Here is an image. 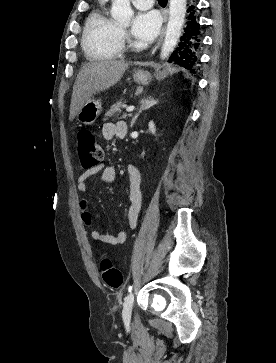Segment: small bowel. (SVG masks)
<instances>
[{
    "label": "small bowel",
    "mask_w": 276,
    "mask_h": 363,
    "mask_svg": "<svg viewBox=\"0 0 276 363\" xmlns=\"http://www.w3.org/2000/svg\"><path fill=\"white\" fill-rule=\"evenodd\" d=\"M127 127L123 121L107 122L102 127V136L105 140H111L114 137L123 138L126 134ZM129 176V204L127 209V217L129 227L135 230L142 211V193L140 190L141 175L139 170L133 166H128ZM101 174V180L104 183H113L116 180V169L113 166L99 164L98 166L89 168L81 173L76 181L77 190L83 194H88L86 180L97 174ZM90 237L100 243L106 245H121L127 239L125 231H119L115 235L105 234L97 229L90 228L88 230Z\"/></svg>",
    "instance_id": "1"
}]
</instances>
